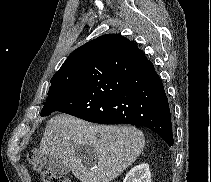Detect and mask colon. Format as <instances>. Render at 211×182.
<instances>
[{
    "label": "colon",
    "mask_w": 211,
    "mask_h": 182,
    "mask_svg": "<svg viewBox=\"0 0 211 182\" xmlns=\"http://www.w3.org/2000/svg\"><path fill=\"white\" fill-rule=\"evenodd\" d=\"M28 161L33 168L40 173L42 182H71L68 178L53 171L43 168L38 150H31L28 153Z\"/></svg>",
    "instance_id": "colon-1"
}]
</instances>
